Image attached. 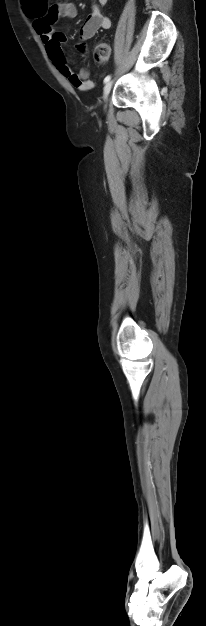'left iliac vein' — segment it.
Returning <instances> with one entry per match:
<instances>
[{"label": "left iliac vein", "mask_w": 206, "mask_h": 626, "mask_svg": "<svg viewBox=\"0 0 206 626\" xmlns=\"http://www.w3.org/2000/svg\"><path fill=\"white\" fill-rule=\"evenodd\" d=\"M112 85H113V81H108V82L106 83V85L104 86V92H103V98H104V100H106V99H107V97H108V95H109V93H110V90H111V88H112Z\"/></svg>", "instance_id": "left-iliac-vein-1"}]
</instances>
